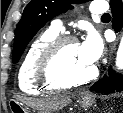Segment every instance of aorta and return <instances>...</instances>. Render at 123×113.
Listing matches in <instances>:
<instances>
[{
    "instance_id": "aorta-1",
    "label": "aorta",
    "mask_w": 123,
    "mask_h": 113,
    "mask_svg": "<svg viewBox=\"0 0 123 113\" xmlns=\"http://www.w3.org/2000/svg\"><path fill=\"white\" fill-rule=\"evenodd\" d=\"M116 66L118 69H123V37L117 51Z\"/></svg>"
}]
</instances>
